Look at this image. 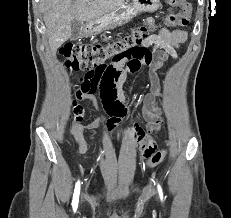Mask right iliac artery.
Listing matches in <instances>:
<instances>
[{
	"instance_id": "82829eb1",
	"label": "right iliac artery",
	"mask_w": 231,
	"mask_h": 218,
	"mask_svg": "<svg viewBox=\"0 0 231 218\" xmlns=\"http://www.w3.org/2000/svg\"><path fill=\"white\" fill-rule=\"evenodd\" d=\"M79 193H80V182L78 181L75 186L73 201H72L74 211L77 209L78 206Z\"/></svg>"
}]
</instances>
